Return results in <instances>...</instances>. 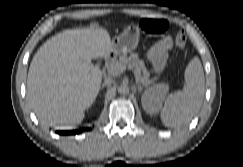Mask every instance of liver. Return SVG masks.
<instances>
[{
	"mask_svg": "<svg viewBox=\"0 0 243 167\" xmlns=\"http://www.w3.org/2000/svg\"><path fill=\"white\" fill-rule=\"evenodd\" d=\"M112 51L103 28L68 30L44 43L29 68L28 88L38 119L56 129H73L96 99L102 72L92 58Z\"/></svg>",
	"mask_w": 243,
	"mask_h": 167,
	"instance_id": "obj_1",
	"label": "liver"
}]
</instances>
